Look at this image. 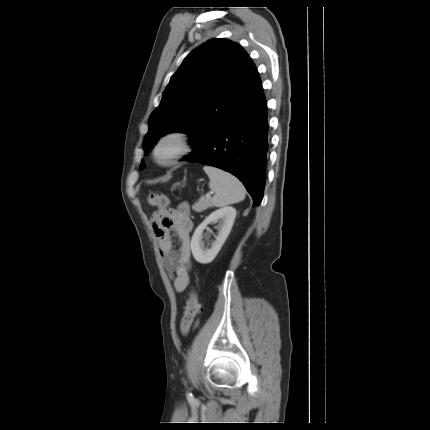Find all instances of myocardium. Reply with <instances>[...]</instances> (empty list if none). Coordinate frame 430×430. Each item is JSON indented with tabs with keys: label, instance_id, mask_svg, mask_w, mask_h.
<instances>
[{
	"label": "myocardium",
	"instance_id": "1",
	"mask_svg": "<svg viewBox=\"0 0 430 430\" xmlns=\"http://www.w3.org/2000/svg\"><path fill=\"white\" fill-rule=\"evenodd\" d=\"M191 150L189 137L179 131L162 135L152 149V157L160 166H170L185 157Z\"/></svg>",
	"mask_w": 430,
	"mask_h": 430
}]
</instances>
